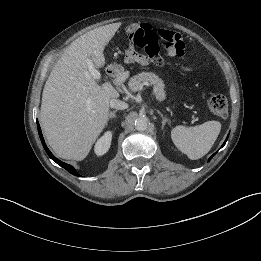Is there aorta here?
<instances>
[{
    "mask_svg": "<svg viewBox=\"0 0 261 261\" xmlns=\"http://www.w3.org/2000/svg\"><path fill=\"white\" fill-rule=\"evenodd\" d=\"M149 120L145 116H140L135 120V128L139 131H144L148 127Z\"/></svg>",
    "mask_w": 261,
    "mask_h": 261,
    "instance_id": "obj_1",
    "label": "aorta"
}]
</instances>
